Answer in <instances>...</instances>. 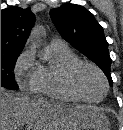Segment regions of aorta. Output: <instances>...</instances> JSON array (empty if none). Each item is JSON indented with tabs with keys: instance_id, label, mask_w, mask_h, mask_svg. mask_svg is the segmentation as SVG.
Masks as SVG:
<instances>
[{
	"instance_id": "aorta-1",
	"label": "aorta",
	"mask_w": 123,
	"mask_h": 130,
	"mask_svg": "<svg viewBox=\"0 0 123 130\" xmlns=\"http://www.w3.org/2000/svg\"><path fill=\"white\" fill-rule=\"evenodd\" d=\"M42 32V29L40 27L33 28L31 32V38L34 40H37Z\"/></svg>"
}]
</instances>
